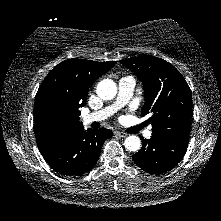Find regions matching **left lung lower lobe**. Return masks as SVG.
<instances>
[{"label": "left lung lower lobe", "instance_id": "0a47b994", "mask_svg": "<svg viewBox=\"0 0 221 221\" xmlns=\"http://www.w3.org/2000/svg\"><path fill=\"white\" fill-rule=\"evenodd\" d=\"M142 139V148L133 155L134 162L144 171L161 174L173 169L183 158L187 144L163 139L152 135Z\"/></svg>", "mask_w": 221, "mask_h": 221}]
</instances>
